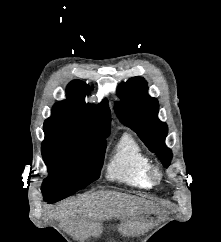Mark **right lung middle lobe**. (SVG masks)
<instances>
[{"mask_svg": "<svg viewBox=\"0 0 221 242\" xmlns=\"http://www.w3.org/2000/svg\"><path fill=\"white\" fill-rule=\"evenodd\" d=\"M42 157L49 175L42 190L76 192L100 176L106 137H90L70 130H44Z\"/></svg>", "mask_w": 221, "mask_h": 242, "instance_id": "obj_1", "label": "right lung middle lobe"}]
</instances>
